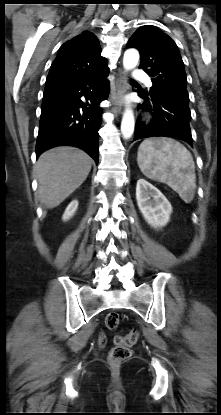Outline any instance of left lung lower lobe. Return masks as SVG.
Wrapping results in <instances>:
<instances>
[{
    "label": "left lung lower lobe",
    "instance_id": "obj_1",
    "mask_svg": "<svg viewBox=\"0 0 221 415\" xmlns=\"http://www.w3.org/2000/svg\"><path fill=\"white\" fill-rule=\"evenodd\" d=\"M138 96L145 100V103L139 104L138 108L143 107L154 112L153 120L149 125L146 126L139 121L136 123L133 141L163 136L181 139L192 146L189 98L174 94H149L141 89Z\"/></svg>",
    "mask_w": 221,
    "mask_h": 415
}]
</instances>
